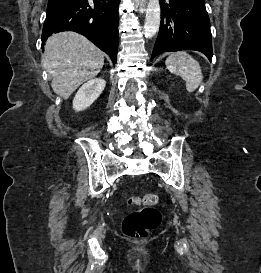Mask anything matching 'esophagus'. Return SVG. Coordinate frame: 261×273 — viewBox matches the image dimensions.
I'll return each mask as SVG.
<instances>
[{
	"instance_id": "esophagus-1",
	"label": "esophagus",
	"mask_w": 261,
	"mask_h": 273,
	"mask_svg": "<svg viewBox=\"0 0 261 273\" xmlns=\"http://www.w3.org/2000/svg\"><path fill=\"white\" fill-rule=\"evenodd\" d=\"M138 5H139V11L140 12H144L145 11V8H146V3H147V0H136Z\"/></svg>"
}]
</instances>
